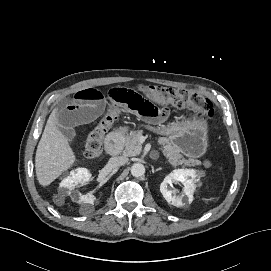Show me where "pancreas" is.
<instances>
[{"label":"pancreas","instance_id":"obj_1","mask_svg":"<svg viewBox=\"0 0 271 271\" xmlns=\"http://www.w3.org/2000/svg\"><path fill=\"white\" fill-rule=\"evenodd\" d=\"M142 135L141 131L131 132L125 136L124 139V156H136L140 154L142 150V145L139 142L140 136ZM159 144L162 146L163 155L167 158L168 162L176 167L180 164L185 165H199L200 162L196 160H185L182 155L164 138H159Z\"/></svg>","mask_w":271,"mask_h":271}]
</instances>
